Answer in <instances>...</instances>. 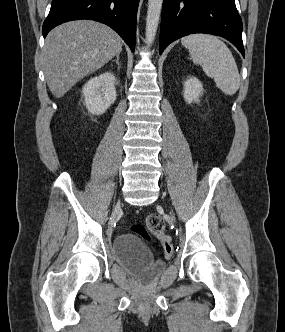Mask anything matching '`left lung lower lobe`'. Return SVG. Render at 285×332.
<instances>
[{
	"label": "left lung lower lobe",
	"mask_w": 285,
	"mask_h": 332,
	"mask_svg": "<svg viewBox=\"0 0 285 332\" xmlns=\"http://www.w3.org/2000/svg\"><path fill=\"white\" fill-rule=\"evenodd\" d=\"M242 21L234 0H163L159 53L192 33L224 37L245 57Z\"/></svg>",
	"instance_id": "left-lung-lower-lobe-1"
}]
</instances>
